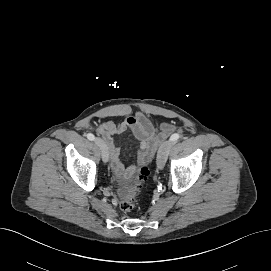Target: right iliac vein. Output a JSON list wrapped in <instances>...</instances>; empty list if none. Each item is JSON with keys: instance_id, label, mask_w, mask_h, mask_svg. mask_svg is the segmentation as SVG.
<instances>
[{"instance_id": "1", "label": "right iliac vein", "mask_w": 271, "mask_h": 271, "mask_svg": "<svg viewBox=\"0 0 271 271\" xmlns=\"http://www.w3.org/2000/svg\"><path fill=\"white\" fill-rule=\"evenodd\" d=\"M95 144L99 147L101 151L102 160L106 163L109 160L108 148L105 142L101 138L95 139Z\"/></svg>"}]
</instances>
